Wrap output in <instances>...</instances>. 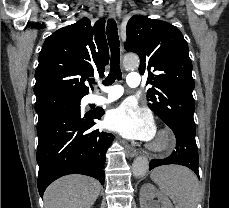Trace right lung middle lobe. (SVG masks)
<instances>
[{
    "label": "right lung middle lobe",
    "mask_w": 229,
    "mask_h": 208,
    "mask_svg": "<svg viewBox=\"0 0 229 208\" xmlns=\"http://www.w3.org/2000/svg\"><path fill=\"white\" fill-rule=\"evenodd\" d=\"M81 99L82 97L56 96L36 102L35 110L38 114L37 127L43 125L59 113L71 109H80Z\"/></svg>",
    "instance_id": "1"
}]
</instances>
